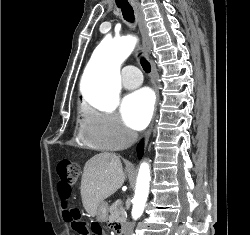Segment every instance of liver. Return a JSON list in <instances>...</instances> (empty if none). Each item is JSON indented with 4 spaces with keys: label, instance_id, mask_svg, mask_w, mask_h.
<instances>
[{
    "label": "liver",
    "instance_id": "liver-1",
    "mask_svg": "<svg viewBox=\"0 0 250 235\" xmlns=\"http://www.w3.org/2000/svg\"><path fill=\"white\" fill-rule=\"evenodd\" d=\"M126 171L113 153H100L86 162L80 189L83 206L90 216L94 217L99 204L121 188Z\"/></svg>",
    "mask_w": 250,
    "mask_h": 235
}]
</instances>
